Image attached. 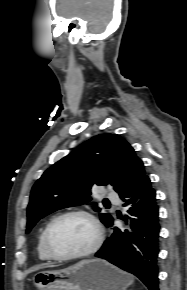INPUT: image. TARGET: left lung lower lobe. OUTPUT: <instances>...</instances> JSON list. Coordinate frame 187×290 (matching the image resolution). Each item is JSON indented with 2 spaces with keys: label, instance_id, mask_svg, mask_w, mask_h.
Listing matches in <instances>:
<instances>
[{
  "label": "left lung lower lobe",
  "instance_id": "left-lung-lower-lobe-1",
  "mask_svg": "<svg viewBox=\"0 0 187 290\" xmlns=\"http://www.w3.org/2000/svg\"><path fill=\"white\" fill-rule=\"evenodd\" d=\"M147 175L120 195L128 207V228H113L96 257L106 259L119 268L137 276L149 290L158 288L159 213ZM113 225V220L108 226Z\"/></svg>",
  "mask_w": 187,
  "mask_h": 290
}]
</instances>
